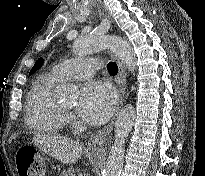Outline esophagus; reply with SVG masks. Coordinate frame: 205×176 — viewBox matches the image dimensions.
Returning a JSON list of instances; mask_svg holds the SVG:
<instances>
[{
  "instance_id": "34e87169",
  "label": "esophagus",
  "mask_w": 205,
  "mask_h": 176,
  "mask_svg": "<svg viewBox=\"0 0 205 176\" xmlns=\"http://www.w3.org/2000/svg\"><path fill=\"white\" fill-rule=\"evenodd\" d=\"M98 13L100 15H104V13L100 9H98ZM114 59H115V62L118 66V76L116 79V83H117L119 95H120V102H119V108H120L122 103H123L125 94H126V73H125L124 67H123L122 63L120 62V60L116 56H114ZM119 108L117 109L111 122L107 126H105L102 130H100L95 136H93L87 142L88 148H97V147H101L105 144L108 136L110 135V133L113 129L114 122H115L116 117H117L118 112H119Z\"/></svg>"
}]
</instances>
